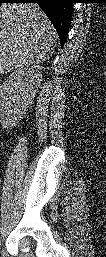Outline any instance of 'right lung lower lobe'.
<instances>
[{
    "label": "right lung lower lobe",
    "instance_id": "right-lung-lower-lobe-1",
    "mask_svg": "<svg viewBox=\"0 0 106 257\" xmlns=\"http://www.w3.org/2000/svg\"><path fill=\"white\" fill-rule=\"evenodd\" d=\"M1 3H37L55 27L61 47L69 32L75 0H0Z\"/></svg>",
    "mask_w": 106,
    "mask_h": 257
}]
</instances>
